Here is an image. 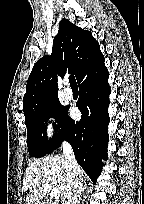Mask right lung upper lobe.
Masks as SVG:
<instances>
[{"mask_svg": "<svg viewBox=\"0 0 144 204\" xmlns=\"http://www.w3.org/2000/svg\"><path fill=\"white\" fill-rule=\"evenodd\" d=\"M104 60L98 42L91 32L82 30L67 19H62L54 37L51 55L35 63L23 97L25 118L58 99L57 75L75 74L77 81Z\"/></svg>", "mask_w": 144, "mask_h": 204, "instance_id": "right-lung-upper-lobe-1", "label": "right lung upper lobe"}]
</instances>
